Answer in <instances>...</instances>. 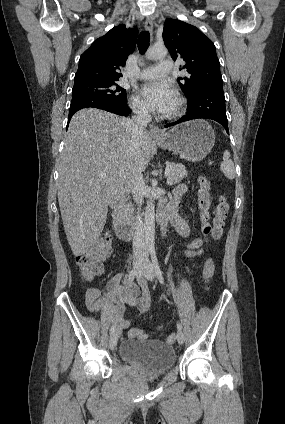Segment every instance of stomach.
I'll return each instance as SVG.
<instances>
[{
  "label": "stomach",
  "instance_id": "1",
  "mask_svg": "<svg viewBox=\"0 0 285 424\" xmlns=\"http://www.w3.org/2000/svg\"><path fill=\"white\" fill-rule=\"evenodd\" d=\"M163 148L173 151L188 161H201L212 150L215 133L204 120H193L169 130L163 138H156Z\"/></svg>",
  "mask_w": 285,
  "mask_h": 424
}]
</instances>
